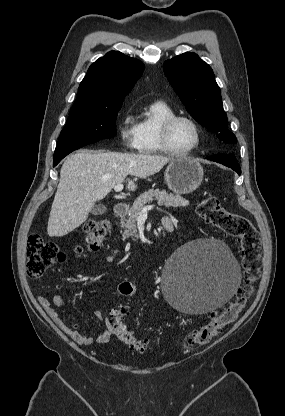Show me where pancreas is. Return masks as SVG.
<instances>
[{
	"label": "pancreas",
	"mask_w": 285,
	"mask_h": 416,
	"mask_svg": "<svg viewBox=\"0 0 285 416\" xmlns=\"http://www.w3.org/2000/svg\"><path fill=\"white\" fill-rule=\"evenodd\" d=\"M153 200H157L159 206H172V208H178V206H189L190 202L182 198V196H174V194H168L166 190H148L141 196L136 198L132 208H130V216L128 220H121V228H124L122 234L123 238H139L137 234L136 218H139L140 212L145 204H150ZM136 242V240H135Z\"/></svg>",
	"instance_id": "cf45deb5"
}]
</instances>
